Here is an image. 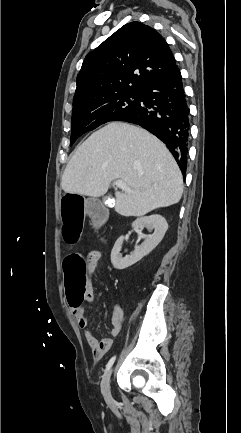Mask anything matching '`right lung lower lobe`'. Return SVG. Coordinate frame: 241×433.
Returning <instances> with one entry per match:
<instances>
[{
  "label": "right lung lower lobe",
  "instance_id": "1",
  "mask_svg": "<svg viewBox=\"0 0 241 433\" xmlns=\"http://www.w3.org/2000/svg\"><path fill=\"white\" fill-rule=\"evenodd\" d=\"M140 92L138 106L119 121L138 124L162 140L185 174L190 123L178 66L147 83Z\"/></svg>",
  "mask_w": 241,
  "mask_h": 433
}]
</instances>
